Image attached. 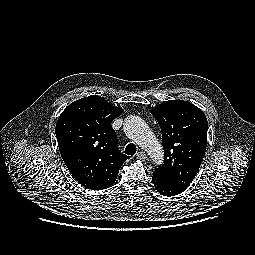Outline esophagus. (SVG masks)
Returning a JSON list of instances; mask_svg holds the SVG:
<instances>
[{
	"label": "esophagus",
	"mask_w": 255,
	"mask_h": 255,
	"mask_svg": "<svg viewBox=\"0 0 255 255\" xmlns=\"http://www.w3.org/2000/svg\"><path fill=\"white\" fill-rule=\"evenodd\" d=\"M136 156H137V158H139L141 160L147 158L145 151H139Z\"/></svg>",
	"instance_id": "1"
}]
</instances>
